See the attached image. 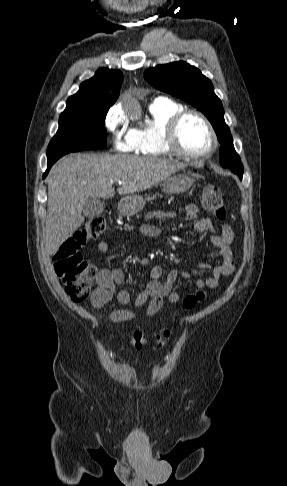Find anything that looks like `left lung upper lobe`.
Returning <instances> with one entry per match:
<instances>
[{"label": "left lung upper lobe", "mask_w": 287, "mask_h": 486, "mask_svg": "<svg viewBox=\"0 0 287 486\" xmlns=\"http://www.w3.org/2000/svg\"><path fill=\"white\" fill-rule=\"evenodd\" d=\"M144 78L155 88L192 104L206 115L221 144L220 164L242 179L243 165L234 149L224 109L212 82L196 67L183 61L151 67L145 71Z\"/></svg>", "instance_id": "obj_1"}]
</instances>
